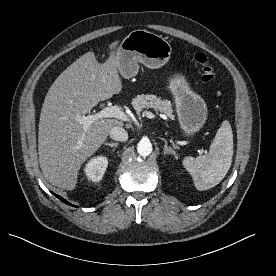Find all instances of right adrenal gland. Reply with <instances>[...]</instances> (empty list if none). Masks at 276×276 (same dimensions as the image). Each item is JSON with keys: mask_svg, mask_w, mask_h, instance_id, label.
I'll use <instances>...</instances> for the list:
<instances>
[{"mask_svg": "<svg viewBox=\"0 0 276 276\" xmlns=\"http://www.w3.org/2000/svg\"><path fill=\"white\" fill-rule=\"evenodd\" d=\"M104 145L116 148L118 146V143H104Z\"/></svg>", "mask_w": 276, "mask_h": 276, "instance_id": "2a0ac1e0", "label": "right adrenal gland"}]
</instances>
